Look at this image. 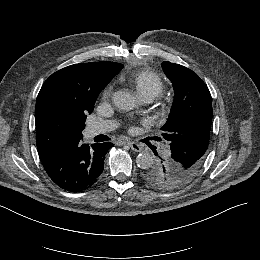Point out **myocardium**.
<instances>
[{
  "label": "myocardium",
  "mask_w": 260,
  "mask_h": 260,
  "mask_svg": "<svg viewBox=\"0 0 260 260\" xmlns=\"http://www.w3.org/2000/svg\"><path fill=\"white\" fill-rule=\"evenodd\" d=\"M170 106H171V101L169 102V105H168V106H164V107L169 110Z\"/></svg>",
  "instance_id": "obj_1"
}]
</instances>
